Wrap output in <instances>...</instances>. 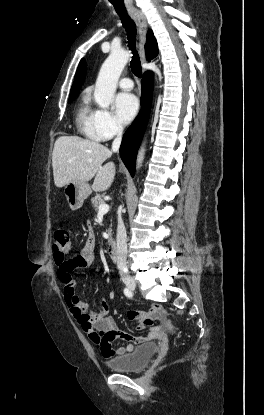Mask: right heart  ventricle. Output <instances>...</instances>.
<instances>
[{
    "instance_id": "e07e8e85",
    "label": "right heart ventricle",
    "mask_w": 264,
    "mask_h": 415,
    "mask_svg": "<svg viewBox=\"0 0 264 415\" xmlns=\"http://www.w3.org/2000/svg\"><path fill=\"white\" fill-rule=\"evenodd\" d=\"M75 123L77 129L87 138L94 141L103 140L96 126V110L92 107L88 95H84L77 106Z\"/></svg>"
}]
</instances>
